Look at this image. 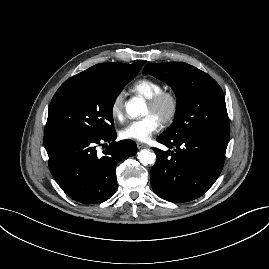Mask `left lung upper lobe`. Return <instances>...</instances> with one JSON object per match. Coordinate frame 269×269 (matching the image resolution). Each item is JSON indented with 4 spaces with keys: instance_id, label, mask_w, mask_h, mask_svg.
<instances>
[{
    "instance_id": "obj_1",
    "label": "left lung upper lobe",
    "mask_w": 269,
    "mask_h": 269,
    "mask_svg": "<svg viewBox=\"0 0 269 269\" xmlns=\"http://www.w3.org/2000/svg\"><path fill=\"white\" fill-rule=\"evenodd\" d=\"M143 74L166 82L177 96L175 120L162 136L174 138L199 130L230 132L223 91L208 74L182 62L149 63Z\"/></svg>"
}]
</instances>
